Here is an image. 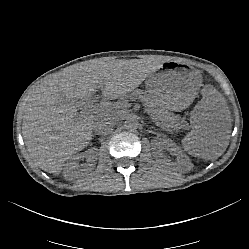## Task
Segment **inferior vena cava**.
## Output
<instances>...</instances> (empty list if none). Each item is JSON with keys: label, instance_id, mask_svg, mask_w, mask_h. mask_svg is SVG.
I'll return each instance as SVG.
<instances>
[{"label": "inferior vena cava", "instance_id": "obj_1", "mask_svg": "<svg viewBox=\"0 0 249 249\" xmlns=\"http://www.w3.org/2000/svg\"><path fill=\"white\" fill-rule=\"evenodd\" d=\"M114 119L109 113H103L100 120L93 123L92 129L95 133H109L113 131Z\"/></svg>", "mask_w": 249, "mask_h": 249}]
</instances>
